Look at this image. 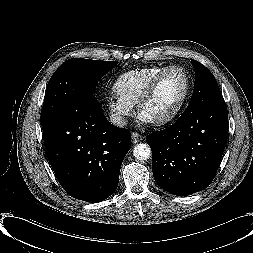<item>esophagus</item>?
<instances>
[{
    "label": "esophagus",
    "mask_w": 253,
    "mask_h": 253,
    "mask_svg": "<svg viewBox=\"0 0 253 253\" xmlns=\"http://www.w3.org/2000/svg\"><path fill=\"white\" fill-rule=\"evenodd\" d=\"M131 138L133 143H138L143 140L144 136L137 132H132Z\"/></svg>",
    "instance_id": "1"
}]
</instances>
